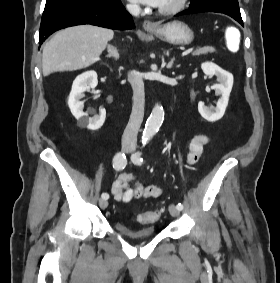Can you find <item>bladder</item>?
<instances>
[{"label":"bladder","instance_id":"31cf9c89","mask_svg":"<svg viewBox=\"0 0 280 283\" xmlns=\"http://www.w3.org/2000/svg\"><path fill=\"white\" fill-rule=\"evenodd\" d=\"M114 228L118 234L131 240H143L155 236V227L153 225H145L139 229H131L125 223L116 222Z\"/></svg>","mask_w":280,"mask_h":283}]
</instances>
